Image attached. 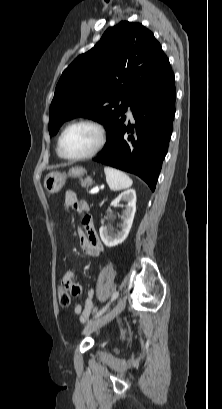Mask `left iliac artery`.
<instances>
[{
  "mask_svg": "<svg viewBox=\"0 0 222 409\" xmlns=\"http://www.w3.org/2000/svg\"><path fill=\"white\" fill-rule=\"evenodd\" d=\"M118 295H119L118 292H114L113 295H112L111 301H110L105 307H103V308L95 315L94 318H97V317L101 316V315L107 310V308L109 307L110 303H111L112 301H114V300L118 297Z\"/></svg>",
  "mask_w": 222,
  "mask_h": 409,
  "instance_id": "44dca946",
  "label": "left iliac artery"
}]
</instances>
